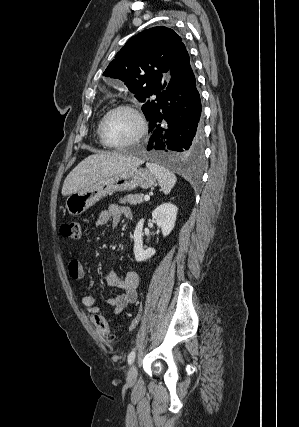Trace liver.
Returning a JSON list of instances; mask_svg holds the SVG:
<instances>
[{
    "instance_id": "obj_1",
    "label": "liver",
    "mask_w": 299,
    "mask_h": 427,
    "mask_svg": "<svg viewBox=\"0 0 299 427\" xmlns=\"http://www.w3.org/2000/svg\"><path fill=\"white\" fill-rule=\"evenodd\" d=\"M141 160L120 153L100 152L82 160L66 177L62 195H71L103 178L137 167Z\"/></svg>"
}]
</instances>
